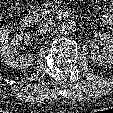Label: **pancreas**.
I'll list each match as a JSON object with an SVG mask.
<instances>
[{
  "instance_id": "cf45deb5",
  "label": "pancreas",
  "mask_w": 113,
  "mask_h": 113,
  "mask_svg": "<svg viewBox=\"0 0 113 113\" xmlns=\"http://www.w3.org/2000/svg\"><path fill=\"white\" fill-rule=\"evenodd\" d=\"M47 14H49L48 9H37L33 12L34 18L37 22L40 21L42 18H45Z\"/></svg>"
}]
</instances>
